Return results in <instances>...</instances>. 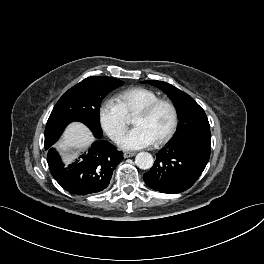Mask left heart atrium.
I'll return each mask as SVG.
<instances>
[{
    "label": "left heart atrium",
    "instance_id": "39dd6f15",
    "mask_svg": "<svg viewBox=\"0 0 264 264\" xmlns=\"http://www.w3.org/2000/svg\"><path fill=\"white\" fill-rule=\"evenodd\" d=\"M154 142V138L144 128L135 127L120 140V146L123 149L134 150L150 146Z\"/></svg>",
    "mask_w": 264,
    "mask_h": 264
}]
</instances>
